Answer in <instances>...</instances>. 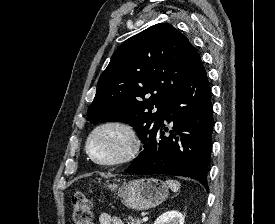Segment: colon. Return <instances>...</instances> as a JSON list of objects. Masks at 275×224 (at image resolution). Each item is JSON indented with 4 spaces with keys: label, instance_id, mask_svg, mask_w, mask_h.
Instances as JSON below:
<instances>
[{
    "label": "colon",
    "instance_id": "5ec220e1",
    "mask_svg": "<svg viewBox=\"0 0 275 224\" xmlns=\"http://www.w3.org/2000/svg\"><path fill=\"white\" fill-rule=\"evenodd\" d=\"M72 207L73 224H91V202L84 194L75 193L72 196Z\"/></svg>",
    "mask_w": 275,
    "mask_h": 224
}]
</instances>
